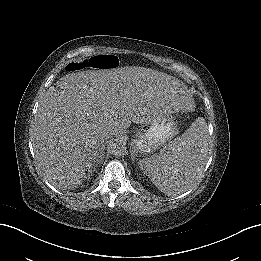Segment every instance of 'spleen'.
<instances>
[{
	"instance_id": "spleen-1",
	"label": "spleen",
	"mask_w": 261,
	"mask_h": 261,
	"mask_svg": "<svg viewBox=\"0 0 261 261\" xmlns=\"http://www.w3.org/2000/svg\"><path fill=\"white\" fill-rule=\"evenodd\" d=\"M197 140L196 133H187L182 141L174 142L159 154L140 160L141 168L162 192L171 194L179 186L183 175L191 174L201 165L204 155L201 154L202 144H197Z\"/></svg>"
}]
</instances>
